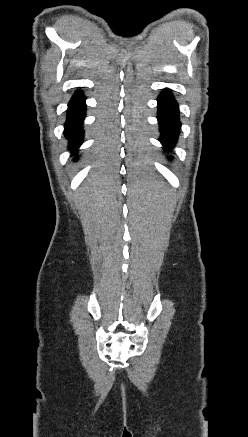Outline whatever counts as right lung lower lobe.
I'll use <instances>...</instances> for the list:
<instances>
[{
    "mask_svg": "<svg viewBox=\"0 0 248 437\" xmlns=\"http://www.w3.org/2000/svg\"><path fill=\"white\" fill-rule=\"evenodd\" d=\"M85 96L76 92L68 104L64 134L69 140V149L75 150L82 143V122L85 117Z\"/></svg>",
    "mask_w": 248,
    "mask_h": 437,
    "instance_id": "1",
    "label": "right lung lower lobe"
}]
</instances>
